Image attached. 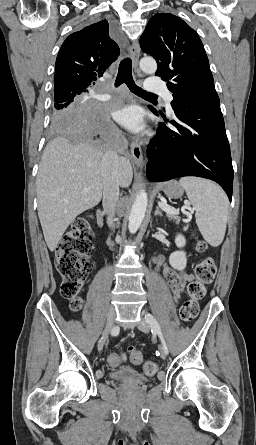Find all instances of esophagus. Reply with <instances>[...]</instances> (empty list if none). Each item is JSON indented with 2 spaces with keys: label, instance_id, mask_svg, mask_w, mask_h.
I'll list each match as a JSON object with an SVG mask.
<instances>
[{
  "label": "esophagus",
  "instance_id": "obj_1",
  "mask_svg": "<svg viewBox=\"0 0 256 445\" xmlns=\"http://www.w3.org/2000/svg\"><path fill=\"white\" fill-rule=\"evenodd\" d=\"M129 53H130V57L133 61V66L135 69H137L139 57H140V46L137 41H134L132 43V45L130 46V49H129ZM130 151H131V156H132L133 162L137 166L141 167L143 164V155H142L141 145L137 142L132 141L130 143Z\"/></svg>",
  "mask_w": 256,
  "mask_h": 445
}]
</instances>
